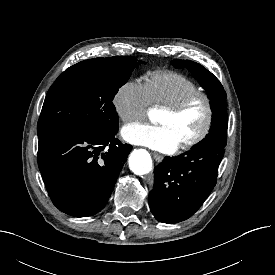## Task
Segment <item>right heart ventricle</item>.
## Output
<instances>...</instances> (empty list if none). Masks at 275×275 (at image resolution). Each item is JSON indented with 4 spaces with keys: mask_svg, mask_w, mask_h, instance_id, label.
<instances>
[{
    "mask_svg": "<svg viewBox=\"0 0 275 275\" xmlns=\"http://www.w3.org/2000/svg\"><path fill=\"white\" fill-rule=\"evenodd\" d=\"M150 102L156 106L171 105L186 95L199 91V86L183 74L172 71H157L144 83Z\"/></svg>",
    "mask_w": 275,
    "mask_h": 275,
    "instance_id": "e07e8e85",
    "label": "right heart ventricle"
}]
</instances>
